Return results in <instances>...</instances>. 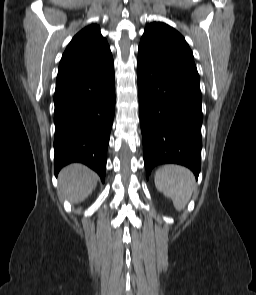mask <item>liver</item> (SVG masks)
Returning a JSON list of instances; mask_svg holds the SVG:
<instances>
[{"label":"liver","instance_id":"1","mask_svg":"<svg viewBox=\"0 0 256 295\" xmlns=\"http://www.w3.org/2000/svg\"><path fill=\"white\" fill-rule=\"evenodd\" d=\"M59 195L73 203L85 200L97 185L98 175L83 164L64 167L58 176Z\"/></svg>","mask_w":256,"mask_h":295}]
</instances>
